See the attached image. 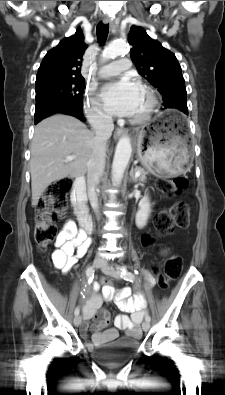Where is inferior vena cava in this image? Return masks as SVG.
I'll return each mask as SVG.
<instances>
[{
  "mask_svg": "<svg viewBox=\"0 0 225 395\" xmlns=\"http://www.w3.org/2000/svg\"><path fill=\"white\" fill-rule=\"evenodd\" d=\"M92 127L95 132L92 155L87 163V187L91 206L99 219V206L96 187L105 168V150L107 140L114 130L111 115L95 113L92 119Z\"/></svg>",
  "mask_w": 225,
  "mask_h": 395,
  "instance_id": "602c4592",
  "label": "inferior vena cava"
}]
</instances>
